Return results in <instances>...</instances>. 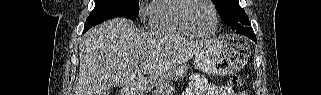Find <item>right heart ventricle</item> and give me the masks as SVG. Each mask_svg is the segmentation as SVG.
<instances>
[{"mask_svg": "<svg viewBox=\"0 0 321 95\" xmlns=\"http://www.w3.org/2000/svg\"><path fill=\"white\" fill-rule=\"evenodd\" d=\"M187 0H153L148 9L150 29L160 32L196 36L184 22L182 11Z\"/></svg>", "mask_w": 321, "mask_h": 95, "instance_id": "obj_1", "label": "right heart ventricle"}]
</instances>
